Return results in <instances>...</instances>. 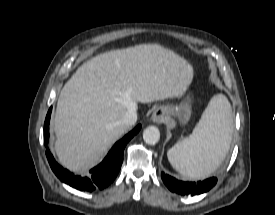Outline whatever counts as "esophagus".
I'll use <instances>...</instances> for the list:
<instances>
[{
  "label": "esophagus",
  "instance_id": "34e87169",
  "mask_svg": "<svg viewBox=\"0 0 275 215\" xmlns=\"http://www.w3.org/2000/svg\"><path fill=\"white\" fill-rule=\"evenodd\" d=\"M168 119V111L164 107H157L151 117L154 123H164Z\"/></svg>",
  "mask_w": 275,
  "mask_h": 215
}]
</instances>
